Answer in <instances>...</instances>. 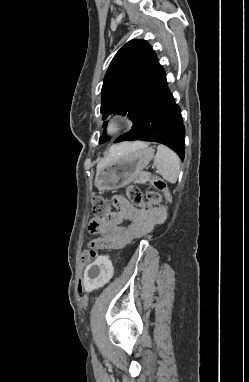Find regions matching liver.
<instances>
[{"label": "liver", "instance_id": "1", "mask_svg": "<svg viewBox=\"0 0 249 382\" xmlns=\"http://www.w3.org/2000/svg\"><path fill=\"white\" fill-rule=\"evenodd\" d=\"M145 144L142 142L134 143H121L119 145L112 146L109 150L107 157L103 158L97 165V170L105 167L109 164L115 157L128 153L130 151L136 150L138 148L144 147Z\"/></svg>", "mask_w": 249, "mask_h": 382}]
</instances>
